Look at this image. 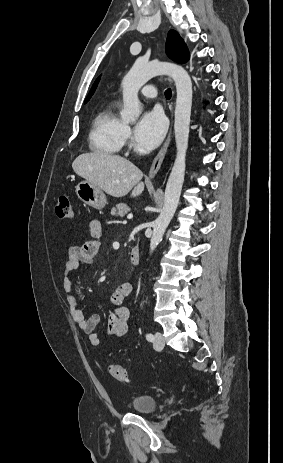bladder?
Masks as SVG:
<instances>
[{
    "instance_id": "obj_1",
    "label": "bladder",
    "mask_w": 283,
    "mask_h": 463,
    "mask_svg": "<svg viewBox=\"0 0 283 463\" xmlns=\"http://www.w3.org/2000/svg\"><path fill=\"white\" fill-rule=\"evenodd\" d=\"M157 407V399L150 395H137L130 402L132 411L141 415H150L156 411Z\"/></svg>"
}]
</instances>
